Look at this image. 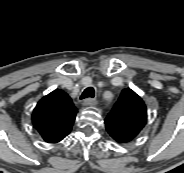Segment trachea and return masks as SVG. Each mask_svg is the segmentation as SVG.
<instances>
[{"label":"trachea","mask_w":184,"mask_h":173,"mask_svg":"<svg viewBox=\"0 0 184 173\" xmlns=\"http://www.w3.org/2000/svg\"><path fill=\"white\" fill-rule=\"evenodd\" d=\"M94 95H95L94 88L88 87L83 91L82 95L80 96V99L93 98Z\"/></svg>","instance_id":"obj_1"}]
</instances>
